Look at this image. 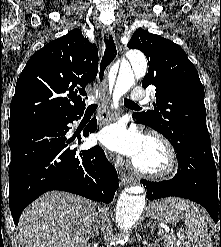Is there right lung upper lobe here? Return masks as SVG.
Instances as JSON below:
<instances>
[{"label":"right lung upper lobe","mask_w":221,"mask_h":247,"mask_svg":"<svg viewBox=\"0 0 221 247\" xmlns=\"http://www.w3.org/2000/svg\"><path fill=\"white\" fill-rule=\"evenodd\" d=\"M98 72V49L79 29L46 44L27 62L16 83L9 126L62 122L82 113L85 86Z\"/></svg>","instance_id":"right-lung-upper-lobe-1"}]
</instances>
